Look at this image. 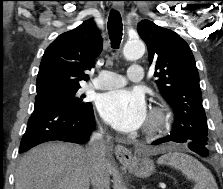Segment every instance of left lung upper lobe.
Returning <instances> with one entry per match:
<instances>
[{
	"instance_id": "5c2ea615",
	"label": "left lung upper lobe",
	"mask_w": 223,
	"mask_h": 189,
	"mask_svg": "<svg viewBox=\"0 0 223 189\" xmlns=\"http://www.w3.org/2000/svg\"><path fill=\"white\" fill-rule=\"evenodd\" d=\"M138 34L148 48L149 63L162 96L175 113L168 138L208 146V126L195 59L187 42L170 29L142 20Z\"/></svg>"
}]
</instances>
